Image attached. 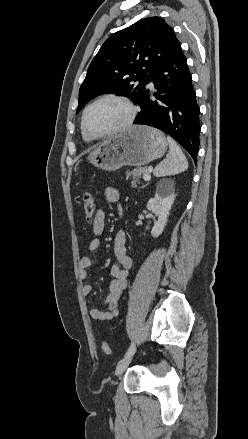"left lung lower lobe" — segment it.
<instances>
[{
    "instance_id": "1",
    "label": "left lung lower lobe",
    "mask_w": 248,
    "mask_h": 439,
    "mask_svg": "<svg viewBox=\"0 0 248 439\" xmlns=\"http://www.w3.org/2000/svg\"><path fill=\"white\" fill-rule=\"evenodd\" d=\"M149 82H153L157 89L154 92L157 100L151 98V91L147 88L140 104L141 112L134 123L152 126L169 134L196 162L200 109L179 41L173 45Z\"/></svg>"
}]
</instances>
